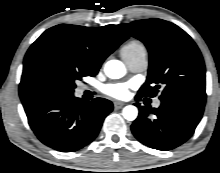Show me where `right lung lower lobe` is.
I'll use <instances>...</instances> for the list:
<instances>
[{"label": "right lung lower lobe", "instance_id": "right-lung-lower-lobe-1", "mask_svg": "<svg viewBox=\"0 0 220 173\" xmlns=\"http://www.w3.org/2000/svg\"><path fill=\"white\" fill-rule=\"evenodd\" d=\"M22 103L37 138L61 152L76 151L92 142L113 110L107 99L83 103L73 93H40Z\"/></svg>", "mask_w": 220, "mask_h": 173}]
</instances>
